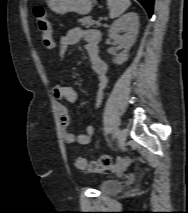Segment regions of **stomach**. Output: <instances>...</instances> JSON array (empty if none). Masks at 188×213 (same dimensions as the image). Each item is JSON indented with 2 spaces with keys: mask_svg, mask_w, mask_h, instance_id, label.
<instances>
[{
  "mask_svg": "<svg viewBox=\"0 0 188 213\" xmlns=\"http://www.w3.org/2000/svg\"><path fill=\"white\" fill-rule=\"evenodd\" d=\"M95 0H47L48 7L57 14L75 12L78 14H88Z\"/></svg>",
  "mask_w": 188,
  "mask_h": 213,
  "instance_id": "1",
  "label": "stomach"
}]
</instances>
